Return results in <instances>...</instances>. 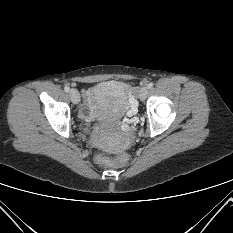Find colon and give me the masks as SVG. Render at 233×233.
<instances>
[{
	"label": "colon",
	"instance_id": "colon-1",
	"mask_svg": "<svg viewBox=\"0 0 233 233\" xmlns=\"http://www.w3.org/2000/svg\"><path fill=\"white\" fill-rule=\"evenodd\" d=\"M96 161L98 163L107 164V165H116L119 163V160L117 158H111L105 155L98 156L96 158Z\"/></svg>",
	"mask_w": 233,
	"mask_h": 233
}]
</instances>
